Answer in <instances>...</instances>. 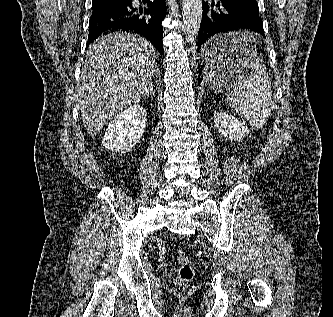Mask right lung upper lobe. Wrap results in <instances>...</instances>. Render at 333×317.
<instances>
[{
  "mask_svg": "<svg viewBox=\"0 0 333 317\" xmlns=\"http://www.w3.org/2000/svg\"><path fill=\"white\" fill-rule=\"evenodd\" d=\"M110 1H125V0H110Z\"/></svg>",
  "mask_w": 333,
  "mask_h": 317,
  "instance_id": "cb5924a9",
  "label": "right lung upper lobe"
}]
</instances>
